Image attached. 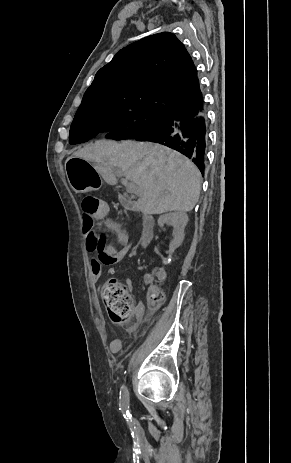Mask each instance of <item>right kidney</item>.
Here are the masks:
<instances>
[{
	"mask_svg": "<svg viewBox=\"0 0 291 463\" xmlns=\"http://www.w3.org/2000/svg\"><path fill=\"white\" fill-rule=\"evenodd\" d=\"M188 220V215L182 211L167 213L159 217L158 225L160 227L165 224L173 227V239L169 245V256L182 244L185 236L184 229Z\"/></svg>",
	"mask_w": 291,
	"mask_h": 463,
	"instance_id": "1",
	"label": "right kidney"
}]
</instances>
